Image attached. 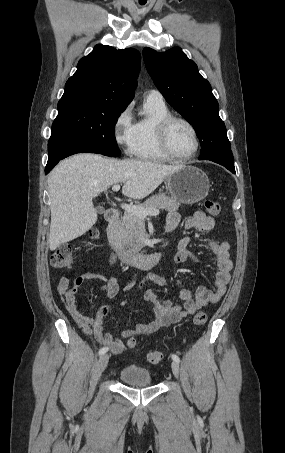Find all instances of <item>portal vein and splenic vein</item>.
<instances>
[{
    "label": "portal vein and splenic vein",
    "instance_id": "18ae733b",
    "mask_svg": "<svg viewBox=\"0 0 285 453\" xmlns=\"http://www.w3.org/2000/svg\"><path fill=\"white\" fill-rule=\"evenodd\" d=\"M119 189H120V185H118V184H115L112 186L113 191H118ZM121 207L125 211L138 215L141 218H145L148 215L156 216L160 213L158 209H144V208H142L140 206H136V205L122 204Z\"/></svg>",
    "mask_w": 285,
    "mask_h": 453
}]
</instances>
